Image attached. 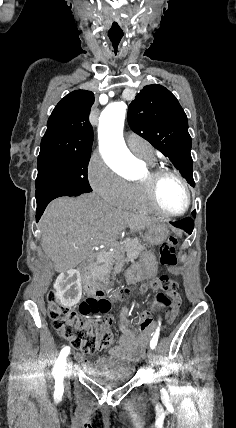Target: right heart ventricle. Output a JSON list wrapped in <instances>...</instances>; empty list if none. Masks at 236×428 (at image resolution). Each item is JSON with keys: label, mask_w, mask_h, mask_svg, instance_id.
I'll return each instance as SVG.
<instances>
[{"label": "right heart ventricle", "mask_w": 236, "mask_h": 428, "mask_svg": "<svg viewBox=\"0 0 236 428\" xmlns=\"http://www.w3.org/2000/svg\"><path fill=\"white\" fill-rule=\"evenodd\" d=\"M147 162L152 168H155L154 159H142ZM122 208L142 213L154 214L162 216L148 201L142 183L136 182L129 184V193Z\"/></svg>", "instance_id": "e07e8e85"}]
</instances>
